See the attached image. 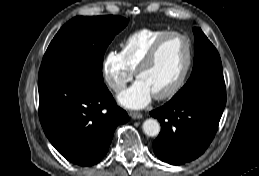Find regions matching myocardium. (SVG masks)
Wrapping results in <instances>:
<instances>
[{"label": "myocardium", "mask_w": 259, "mask_h": 176, "mask_svg": "<svg viewBox=\"0 0 259 176\" xmlns=\"http://www.w3.org/2000/svg\"><path fill=\"white\" fill-rule=\"evenodd\" d=\"M172 36H179L186 41V44H187L186 62L181 74L176 79V81L166 91L160 94L154 95V98L157 100H165L173 97L175 94L178 93V91L182 88L184 82L186 81V78L190 72L192 61H193V44L189 36L178 31H169L166 34L162 35L153 44V46L150 48V50L148 51V53L146 54V56L141 61V63L139 64V66L135 71L136 78H139V75L155 61L164 42Z\"/></svg>", "instance_id": "f54148a6"}]
</instances>
